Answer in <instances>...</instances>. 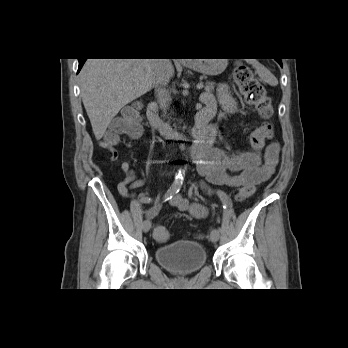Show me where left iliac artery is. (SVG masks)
Here are the masks:
<instances>
[{
    "instance_id": "1",
    "label": "left iliac artery",
    "mask_w": 348,
    "mask_h": 348,
    "mask_svg": "<svg viewBox=\"0 0 348 348\" xmlns=\"http://www.w3.org/2000/svg\"><path fill=\"white\" fill-rule=\"evenodd\" d=\"M219 197H222L223 210H224V213H227V210H229L231 201L229 200L228 196L224 194V189H219Z\"/></svg>"
}]
</instances>
